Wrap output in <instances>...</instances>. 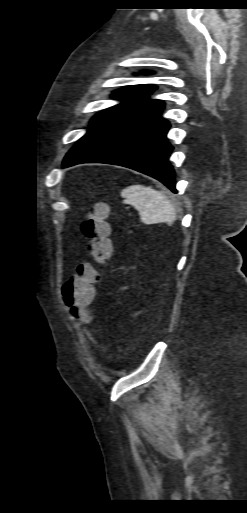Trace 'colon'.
I'll list each match as a JSON object with an SVG mask.
<instances>
[{"instance_id": "obj_1", "label": "colon", "mask_w": 247, "mask_h": 513, "mask_svg": "<svg viewBox=\"0 0 247 513\" xmlns=\"http://www.w3.org/2000/svg\"><path fill=\"white\" fill-rule=\"evenodd\" d=\"M81 231L87 239V250L92 262L80 264L63 284L61 296L70 312L82 323L91 321V314L86 308L92 300L96 285L100 281L98 267L110 256L109 210L104 204L97 205L89 211L81 224Z\"/></svg>"}]
</instances>
